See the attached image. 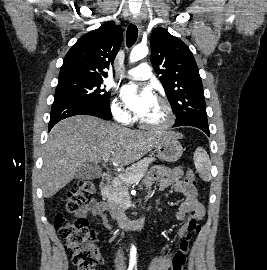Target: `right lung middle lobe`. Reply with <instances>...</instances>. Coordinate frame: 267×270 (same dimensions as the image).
Here are the masks:
<instances>
[{"instance_id": "1", "label": "right lung middle lobe", "mask_w": 267, "mask_h": 270, "mask_svg": "<svg viewBox=\"0 0 267 270\" xmlns=\"http://www.w3.org/2000/svg\"><path fill=\"white\" fill-rule=\"evenodd\" d=\"M103 79L64 77L58 79L54 102L101 104L110 102V92L101 86Z\"/></svg>"}]
</instances>
